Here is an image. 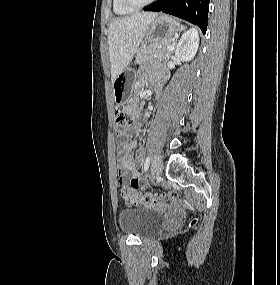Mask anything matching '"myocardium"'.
<instances>
[{
	"label": "myocardium",
	"mask_w": 280,
	"mask_h": 285,
	"mask_svg": "<svg viewBox=\"0 0 280 285\" xmlns=\"http://www.w3.org/2000/svg\"><path fill=\"white\" fill-rule=\"evenodd\" d=\"M122 5L125 6L128 9L136 10V9H141L143 7H146L152 3H154L156 0H146L142 3H136L133 0H120Z\"/></svg>",
	"instance_id": "1"
}]
</instances>
